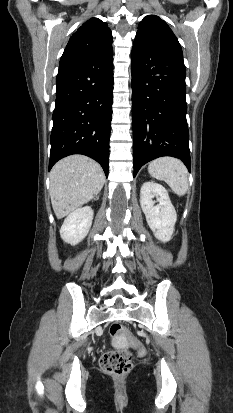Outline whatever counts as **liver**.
Listing matches in <instances>:
<instances>
[{"mask_svg": "<svg viewBox=\"0 0 233 413\" xmlns=\"http://www.w3.org/2000/svg\"><path fill=\"white\" fill-rule=\"evenodd\" d=\"M50 180L52 207L56 217L61 219L93 199L101 191L105 176L96 161L72 155L54 165Z\"/></svg>", "mask_w": 233, "mask_h": 413, "instance_id": "liver-1", "label": "liver"}]
</instances>
